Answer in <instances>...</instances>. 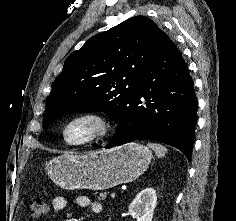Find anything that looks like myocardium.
Returning <instances> with one entry per match:
<instances>
[{
    "instance_id": "f54148a6",
    "label": "myocardium",
    "mask_w": 236,
    "mask_h": 221,
    "mask_svg": "<svg viewBox=\"0 0 236 221\" xmlns=\"http://www.w3.org/2000/svg\"><path fill=\"white\" fill-rule=\"evenodd\" d=\"M79 121H91L95 123L96 130L95 132L88 137L79 142H71L67 138V130L71 125ZM113 130V124L111 120L101 112L98 111H86L78 113L71 118H69L61 128V137L63 142L70 147L79 148L94 144L105 139Z\"/></svg>"
}]
</instances>
